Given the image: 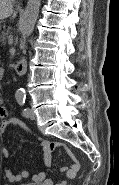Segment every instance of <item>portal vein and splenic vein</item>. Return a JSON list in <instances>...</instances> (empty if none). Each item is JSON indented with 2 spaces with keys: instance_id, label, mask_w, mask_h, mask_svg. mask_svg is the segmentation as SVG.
<instances>
[{
  "instance_id": "18ae733b",
  "label": "portal vein and splenic vein",
  "mask_w": 119,
  "mask_h": 185,
  "mask_svg": "<svg viewBox=\"0 0 119 185\" xmlns=\"http://www.w3.org/2000/svg\"><path fill=\"white\" fill-rule=\"evenodd\" d=\"M8 43H9L10 45L13 44V37H12V36H9V37H8Z\"/></svg>"
}]
</instances>
